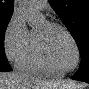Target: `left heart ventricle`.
Returning a JSON list of instances; mask_svg holds the SVG:
<instances>
[{
  "mask_svg": "<svg viewBox=\"0 0 89 89\" xmlns=\"http://www.w3.org/2000/svg\"><path fill=\"white\" fill-rule=\"evenodd\" d=\"M45 22L42 23L37 31H43ZM47 43L53 65L59 70H67L72 68L76 62L75 48L61 29H53L47 34Z\"/></svg>",
  "mask_w": 89,
  "mask_h": 89,
  "instance_id": "left-heart-ventricle-1",
  "label": "left heart ventricle"
}]
</instances>
